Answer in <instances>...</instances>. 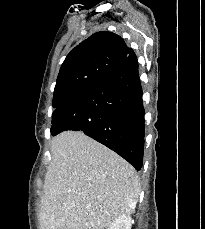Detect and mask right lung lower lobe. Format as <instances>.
Masks as SVG:
<instances>
[{
	"mask_svg": "<svg viewBox=\"0 0 205 229\" xmlns=\"http://www.w3.org/2000/svg\"><path fill=\"white\" fill-rule=\"evenodd\" d=\"M80 130L118 153L138 171L144 150V108L138 61L131 49L115 70L52 115L51 134Z\"/></svg>",
	"mask_w": 205,
	"mask_h": 229,
	"instance_id": "right-lung-lower-lobe-1",
	"label": "right lung lower lobe"
}]
</instances>
